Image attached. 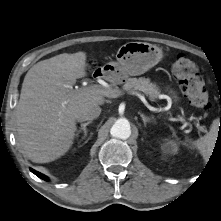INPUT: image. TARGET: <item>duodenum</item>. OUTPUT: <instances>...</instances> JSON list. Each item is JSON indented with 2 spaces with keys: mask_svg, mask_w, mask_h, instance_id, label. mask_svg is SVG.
I'll return each mask as SVG.
<instances>
[{
  "mask_svg": "<svg viewBox=\"0 0 221 221\" xmlns=\"http://www.w3.org/2000/svg\"><path fill=\"white\" fill-rule=\"evenodd\" d=\"M104 72L102 69H98L97 71L94 72V78L98 79V78H103L104 77Z\"/></svg>",
  "mask_w": 221,
  "mask_h": 221,
  "instance_id": "1",
  "label": "duodenum"
}]
</instances>
